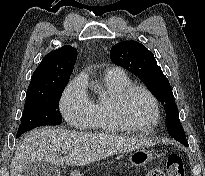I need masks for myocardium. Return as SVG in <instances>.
Wrapping results in <instances>:
<instances>
[{
	"label": "myocardium",
	"instance_id": "obj_1",
	"mask_svg": "<svg viewBox=\"0 0 205 176\" xmlns=\"http://www.w3.org/2000/svg\"><path fill=\"white\" fill-rule=\"evenodd\" d=\"M137 91L143 92L147 95V97L152 102V105L154 107L155 111V117L154 120L149 124H138L133 122L127 112V103L129 98ZM115 110L116 115L120 122L126 126L128 129L132 130H148L150 128L156 127L161 120V108L160 103L157 99V97L154 95V93L148 89L147 87L143 85L138 84H131L128 87H126L124 90H122L118 96L116 97L115 101Z\"/></svg>",
	"mask_w": 205,
	"mask_h": 176
}]
</instances>
